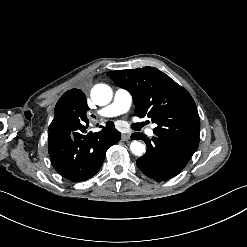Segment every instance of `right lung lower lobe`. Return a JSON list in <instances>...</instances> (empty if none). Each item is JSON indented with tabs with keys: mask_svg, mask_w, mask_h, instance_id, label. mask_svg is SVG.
Returning <instances> with one entry per match:
<instances>
[{
	"mask_svg": "<svg viewBox=\"0 0 247 247\" xmlns=\"http://www.w3.org/2000/svg\"><path fill=\"white\" fill-rule=\"evenodd\" d=\"M87 127L88 120L64 134L48 135L49 156L54 169L73 182L93 177L102 166L107 149L121 138L111 121L98 133H87Z\"/></svg>",
	"mask_w": 247,
	"mask_h": 247,
	"instance_id": "obj_1",
	"label": "right lung lower lobe"
}]
</instances>
